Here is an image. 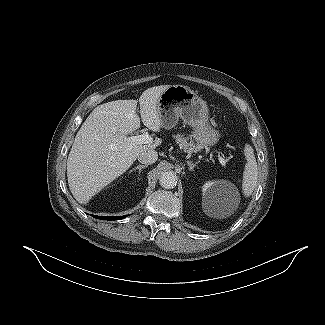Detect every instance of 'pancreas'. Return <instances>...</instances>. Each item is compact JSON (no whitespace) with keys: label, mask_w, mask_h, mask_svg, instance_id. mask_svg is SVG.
Listing matches in <instances>:
<instances>
[{"label":"pancreas","mask_w":325,"mask_h":325,"mask_svg":"<svg viewBox=\"0 0 325 325\" xmlns=\"http://www.w3.org/2000/svg\"><path fill=\"white\" fill-rule=\"evenodd\" d=\"M175 142L184 150L186 153L197 152L202 148V146L198 144H194L193 142H188V139L183 135L177 134L174 136Z\"/></svg>","instance_id":"pancreas-1"}]
</instances>
